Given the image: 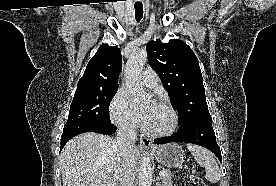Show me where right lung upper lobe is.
<instances>
[{
    "instance_id": "right-lung-upper-lobe-1",
    "label": "right lung upper lobe",
    "mask_w": 276,
    "mask_h": 186,
    "mask_svg": "<svg viewBox=\"0 0 276 186\" xmlns=\"http://www.w3.org/2000/svg\"><path fill=\"white\" fill-rule=\"evenodd\" d=\"M122 68L120 49L107 44L101 45L89 61L83 76L80 78L78 89L87 88H118L119 73Z\"/></svg>"
}]
</instances>
